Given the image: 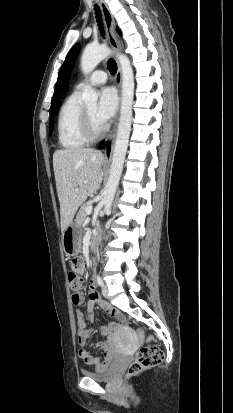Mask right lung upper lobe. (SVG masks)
Here are the masks:
<instances>
[{"instance_id": "obj_1", "label": "right lung upper lobe", "mask_w": 233, "mask_h": 413, "mask_svg": "<svg viewBox=\"0 0 233 413\" xmlns=\"http://www.w3.org/2000/svg\"><path fill=\"white\" fill-rule=\"evenodd\" d=\"M67 89H68V85H66L65 91H67ZM57 107H59V104L56 106V108H57ZM50 111H51V108H50Z\"/></svg>"}]
</instances>
